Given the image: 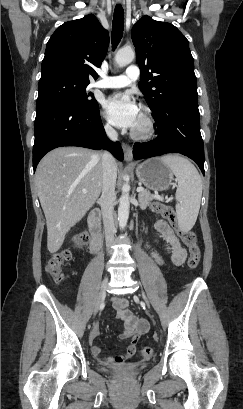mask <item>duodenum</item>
<instances>
[{"mask_svg":"<svg viewBox=\"0 0 243 409\" xmlns=\"http://www.w3.org/2000/svg\"><path fill=\"white\" fill-rule=\"evenodd\" d=\"M101 212L99 210H93L88 218L87 223L90 232V251L93 254H97L101 248L102 240V227H101Z\"/></svg>","mask_w":243,"mask_h":409,"instance_id":"duodenum-1","label":"duodenum"}]
</instances>
